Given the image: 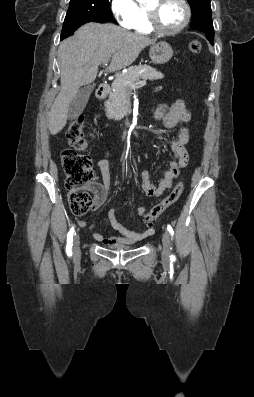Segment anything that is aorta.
I'll return each mask as SVG.
<instances>
[{"label": "aorta", "mask_w": 254, "mask_h": 397, "mask_svg": "<svg viewBox=\"0 0 254 397\" xmlns=\"http://www.w3.org/2000/svg\"><path fill=\"white\" fill-rule=\"evenodd\" d=\"M138 2H140V3H142V2H145V1H147V0H137Z\"/></svg>", "instance_id": "obj_1"}]
</instances>
